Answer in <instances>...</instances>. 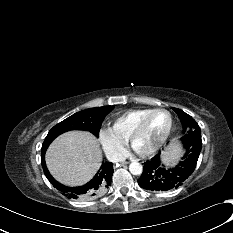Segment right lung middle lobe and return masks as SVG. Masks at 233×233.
<instances>
[{
	"instance_id": "dd1d6c3e",
	"label": "right lung middle lobe",
	"mask_w": 233,
	"mask_h": 233,
	"mask_svg": "<svg viewBox=\"0 0 233 233\" xmlns=\"http://www.w3.org/2000/svg\"><path fill=\"white\" fill-rule=\"evenodd\" d=\"M115 106L90 108L79 111L55 125L46 136L41 151H46L50 143L60 134L70 130H86L99 135L102 121Z\"/></svg>"
}]
</instances>
